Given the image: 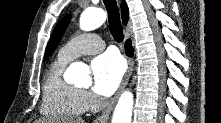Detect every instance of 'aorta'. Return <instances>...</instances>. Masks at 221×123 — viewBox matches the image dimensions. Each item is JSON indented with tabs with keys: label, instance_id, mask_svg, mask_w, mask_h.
<instances>
[{
	"label": "aorta",
	"instance_id": "762f6f07",
	"mask_svg": "<svg viewBox=\"0 0 221 123\" xmlns=\"http://www.w3.org/2000/svg\"><path fill=\"white\" fill-rule=\"evenodd\" d=\"M106 20V13L100 8H87L81 14L80 28L83 31H91L100 27ZM68 73L75 83L89 85L91 77L88 69L81 63L75 62L68 68ZM134 97L131 91L121 94L115 107L112 123H131Z\"/></svg>",
	"mask_w": 221,
	"mask_h": 123
}]
</instances>
